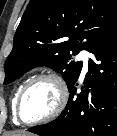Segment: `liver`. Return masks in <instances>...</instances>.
Here are the masks:
<instances>
[{"label":"liver","mask_w":117,"mask_h":136,"mask_svg":"<svg viewBox=\"0 0 117 136\" xmlns=\"http://www.w3.org/2000/svg\"><path fill=\"white\" fill-rule=\"evenodd\" d=\"M9 136H33V135L26 133L24 131H19V132L11 133Z\"/></svg>","instance_id":"liver-1"}]
</instances>
